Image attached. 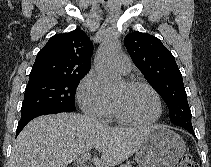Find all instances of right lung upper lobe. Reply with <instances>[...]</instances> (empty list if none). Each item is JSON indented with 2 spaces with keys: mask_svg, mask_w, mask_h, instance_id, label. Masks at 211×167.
<instances>
[{
  "mask_svg": "<svg viewBox=\"0 0 211 167\" xmlns=\"http://www.w3.org/2000/svg\"><path fill=\"white\" fill-rule=\"evenodd\" d=\"M93 45L80 29L56 34L38 52L29 81L85 76L91 68Z\"/></svg>",
  "mask_w": 211,
  "mask_h": 167,
  "instance_id": "right-lung-upper-lobe-1",
  "label": "right lung upper lobe"
}]
</instances>
